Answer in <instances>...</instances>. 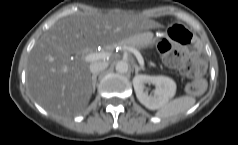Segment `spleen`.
<instances>
[{"label":"spleen","instance_id":"3e777b00","mask_svg":"<svg viewBox=\"0 0 238 145\" xmlns=\"http://www.w3.org/2000/svg\"><path fill=\"white\" fill-rule=\"evenodd\" d=\"M195 102V97L190 95L175 98L170 102L165 103L156 113V116L160 118L176 116L180 113H184L189 110L191 107L194 106Z\"/></svg>","mask_w":238,"mask_h":145}]
</instances>
